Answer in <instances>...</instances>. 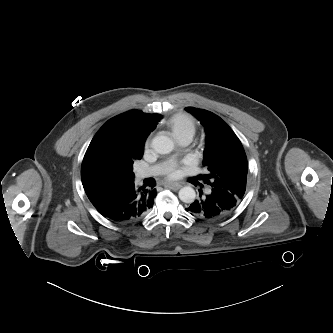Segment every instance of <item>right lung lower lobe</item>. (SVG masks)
<instances>
[{
  "instance_id": "1",
  "label": "right lung lower lobe",
  "mask_w": 333,
  "mask_h": 333,
  "mask_svg": "<svg viewBox=\"0 0 333 333\" xmlns=\"http://www.w3.org/2000/svg\"><path fill=\"white\" fill-rule=\"evenodd\" d=\"M84 189L97 211L116 223H130L141 218L153 206L156 197V189H135L134 181Z\"/></svg>"
}]
</instances>
